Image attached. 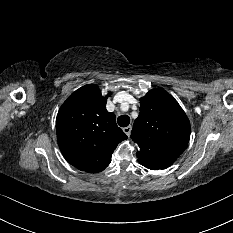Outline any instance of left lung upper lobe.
<instances>
[{
    "mask_svg": "<svg viewBox=\"0 0 233 233\" xmlns=\"http://www.w3.org/2000/svg\"><path fill=\"white\" fill-rule=\"evenodd\" d=\"M140 104L131 132V139L140 148L138 161L147 168L165 169L187 147L190 122L178 102L163 89L150 90Z\"/></svg>",
    "mask_w": 233,
    "mask_h": 233,
    "instance_id": "1",
    "label": "left lung upper lobe"
}]
</instances>
